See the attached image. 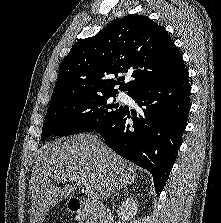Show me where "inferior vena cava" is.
I'll use <instances>...</instances> for the list:
<instances>
[{
    "label": "inferior vena cava",
    "instance_id": "602c4592",
    "mask_svg": "<svg viewBox=\"0 0 221 223\" xmlns=\"http://www.w3.org/2000/svg\"><path fill=\"white\" fill-rule=\"evenodd\" d=\"M105 216H106V218H107V221H109V220H110V218H111L109 208H107V209H106V211H105Z\"/></svg>",
    "mask_w": 221,
    "mask_h": 223
}]
</instances>
